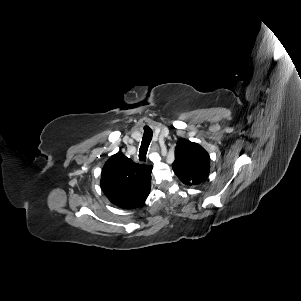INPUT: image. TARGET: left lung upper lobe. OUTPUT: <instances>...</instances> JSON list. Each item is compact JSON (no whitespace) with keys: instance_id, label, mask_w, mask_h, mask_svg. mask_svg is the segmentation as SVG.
<instances>
[{"instance_id":"1","label":"left lung upper lobe","mask_w":301,"mask_h":301,"mask_svg":"<svg viewBox=\"0 0 301 301\" xmlns=\"http://www.w3.org/2000/svg\"><path fill=\"white\" fill-rule=\"evenodd\" d=\"M174 173L186 185H198L209 173L210 157L199 144L181 139L175 148Z\"/></svg>"}]
</instances>
